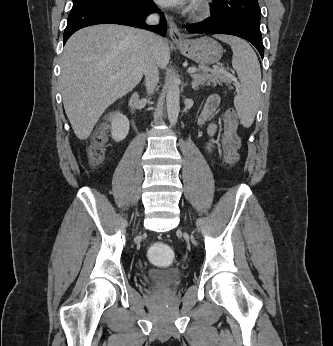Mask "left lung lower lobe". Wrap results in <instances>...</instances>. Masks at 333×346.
<instances>
[{
    "label": "left lung lower lobe",
    "instance_id": "1",
    "mask_svg": "<svg viewBox=\"0 0 333 346\" xmlns=\"http://www.w3.org/2000/svg\"><path fill=\"white\" fill-rule=\"evenodd\" d=\"M211 14L212 17L196 24L187 25L186 29L190 33L228 34L238 36L252 43L263 59L264 49L260 27L238 18H220L213 13Z\"/></svg>",
    "mask_w": 333,
    "mask_h": 346
}]
</instances>
